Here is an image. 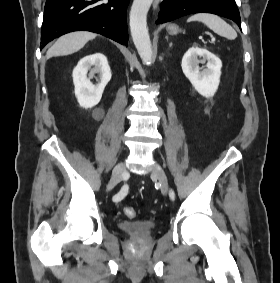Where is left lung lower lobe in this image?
Instances as JSON below:
<instances>
[{
	"label": "left lung lower lobe",
	"instance_id": "0a47b994",
	"mask_svg": "<svg viewBox=\"0 0 280 283\" xmlns=\"http://www.w3.org/2000/svg\"><path fill=\"white\" fill-rule=\"evenodd\" d=\"M193 13H212L233 20L241 29V18L235 0H163L156 24Z\"/></svg>",
	"mask_w": 280,
	"mask_h": 283
}]
</instances>
